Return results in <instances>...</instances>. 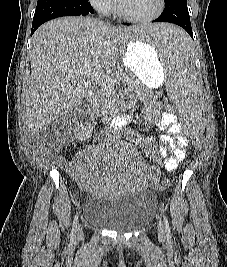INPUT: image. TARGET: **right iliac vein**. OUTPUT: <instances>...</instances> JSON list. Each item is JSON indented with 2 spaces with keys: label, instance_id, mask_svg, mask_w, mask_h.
Segmentation results:
<instances>
[{
  "label": "right iliac vein",
  "instance_id": "right-iliac-vein-1",
  "mask_svg": "<svg viewBox=\"0 0 227 267\" xmlns=\"http://www.w3.org/2000/svg\"><path fill=\"white\" fill-rule=\"evenodd\" d=\"M76 236L78 239H81L84 236L83 228L81 225H79L77 228Z\"/></svg>",
  "mask_w": 227,
  "mask_h": 267
}]
</instances>
